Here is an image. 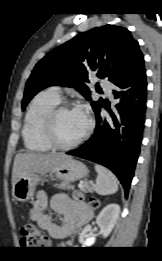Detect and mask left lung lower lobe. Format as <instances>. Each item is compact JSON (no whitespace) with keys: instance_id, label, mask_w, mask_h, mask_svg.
Returning a JSON list of instances; mask_svg holds the SVG:
<instances>
[{"instance_id":"1","label":"left lung lower lobe","mask_w":162,"mask_h":261,"mask_svg":"<svg viewBox=\"0 0 162 261\" xmlns=\"http://www.w3.org/2000/svg\"><path fill=\"white\" fill-rule=\"evenodd\" d=\"M113 84L116 86L117 111H110L111 119H105L98 110L92 137L79 149L66 154L109 168L120 180L125 196H128L145 122L147 81L144 59ZM103 106L106 107L105 103Z\"/></svg>"}]
</instances>
